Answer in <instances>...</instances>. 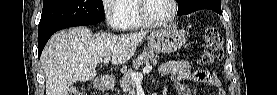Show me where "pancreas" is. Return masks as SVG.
I'll use <instances>...</instances> for the list:
<instances>
[{
  "mask_svg": "<svg viewBox=\"0 0 277 95\" xmlns=\"http://www.w3.org/2000/svg\"><path fill=\"white\" fill-rule=\"evenodd\" d=\"M159 56L154 51H144L136 60L133 61V68L125 72L120 79V87L123 92L128 95H134L135 93V81L130 78V74L136 72L140 66L144 65H156Z\"/></svg>",
  "mask_w": 277,
  "mask_h": 95,
  "instance_id": "obj_1",
  "label": "pancreas"
}]
</instances>
